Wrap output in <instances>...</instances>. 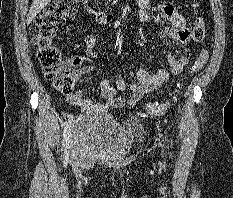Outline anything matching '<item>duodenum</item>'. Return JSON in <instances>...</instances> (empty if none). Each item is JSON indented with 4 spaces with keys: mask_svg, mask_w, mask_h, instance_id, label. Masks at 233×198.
I'll return each instance as SVG.
<instances>
[{
    "mask_svg": "<svg viewBox=\"0 0 233 198\" xmlns=\"http://www.w3.org/2000/svg\"><path fill=\"white\" fill-rule=\"evenodd\" d=\"M87 11H91V9L89 7L86 8ZM95 17L97 19L98 22L100 23H107V22H111L113 20L112 16L104 14V13H96Z\"/></svg>",
    "mask_w": 233,
    "mask_h": 198,
    "instance_id": "1",
    "label": "duodenum"
}]
</instances>
